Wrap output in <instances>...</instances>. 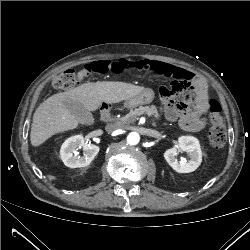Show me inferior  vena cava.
Masks as SVG:
<instances>
[{"label":"inferior vena cava","mask_w":250,"mask_h":250,"mask_svg":"<svg viewBox=\"0 0 250 250\" xmlns=\"http://www.w3.org/2000/svg\"><path fill=\"white\" fill-rule=\"evenodd\" d=\"M121 127L120 126H118V125H115V124H108L107 126H106V131L107 132H109V133H111V132H114V131H116V130H118V129H120Z\"/></svg>","instance_id":"inferior-vena-cava-1"}]
</instances>
